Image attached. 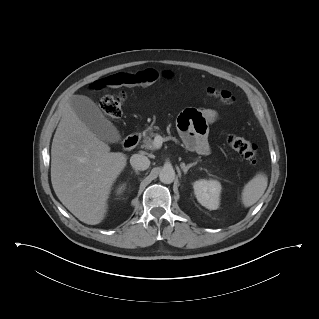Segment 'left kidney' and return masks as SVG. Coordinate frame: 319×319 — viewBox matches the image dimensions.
Here are the masks:
<instances>
[{"instance_id": "1", "label": "left kidney", "mask_w": 319, "mask_h": 319, "mask_svg": "<svg viewBox=\"0 0 319 319\" xmlns=\"http://www.w3.org/2000/svg\"><path fill=\"white\" fill-rule=\"evenodd\" d=\"M197 201L209 210L219 208L221 184L217 180L201 179L193 184Z\"/></svg>"}]
</instances>
